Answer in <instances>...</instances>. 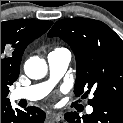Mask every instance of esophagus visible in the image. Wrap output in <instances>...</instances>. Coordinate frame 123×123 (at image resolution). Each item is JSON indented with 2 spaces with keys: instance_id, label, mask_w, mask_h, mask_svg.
Returning <instances> with one entry per match:
<instances>
[{
  "instance_id": "1",
  "label": "esophagus",
  "mask_w": 123,
  "mask_h": 123,
  "mask_svg": "<svg viewBox=\"0 0 123 123\" xmlns=\"http://www.w3.org/2000/svg\"><path fill=\"white\" fill-rule=\"evenodd\" d=\"M48 117L56 122L62 121L64 118L61 113H50Z\"/></svg>"
}]
</instances>
